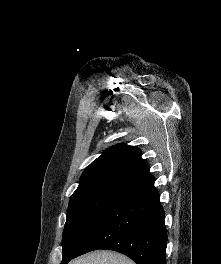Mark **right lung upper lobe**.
Instances as JSON below:
<instances>
[{"mask_svg": "<svg viewBox=\"0 0 221 264\" xmlns=\"http://www.w3.org/2000/svg\"><path fill=\"white\" fill-rule=\"evenodd\" d=\"M141 150L126 144L110 147L92 162L82 173L79 186L74 193L97 187H123L150 176Z\"/></svg>", "mask_w": 221, "mask_h": 264, "instance_id": "1", "label": "right lung upper lobe"}]
</instances>
